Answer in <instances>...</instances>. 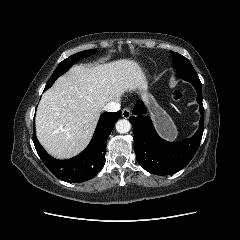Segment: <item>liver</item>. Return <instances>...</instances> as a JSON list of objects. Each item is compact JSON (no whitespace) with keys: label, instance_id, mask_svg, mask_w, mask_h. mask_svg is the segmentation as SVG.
I'll return each instance as SVG.
<instances>
[{"label":"liver","instance_id":"6515ba94","mask_svg":"<svg viewBox=\"0 0 240 240\" xmlns=\"http://www.w3.org/2000/svg\"><path fill=\"white\" fill-rule=\"evenodd\" d=\"M136 89H145V83L134 60L73 66L41 98L36 113L39 142L56 158L77 155L90 142L103 107Z\"/></svg>","mask_w":240,"mask_h":240}]
</instances>
